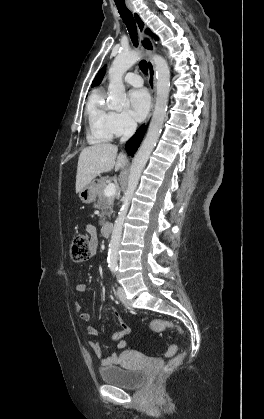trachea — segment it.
Returning a JSON list of instances; mask_svg holds the SVG:
<instances>
[{
  "instance_id": "3493384b",
  "label": "trachea",
  "mask_w": 264,
  "mask_h": 419,
  "mask_svg": "<svg viewBox=\"0 0 264 419\" xmlns=\"http://www.w3.org/2000/svg\"><path fill=\"white\" fill-rule=\"evenodd\" d=\"M116 6H117V9L121 18L123 19V22L125 23L129 31V35H130L131 41L133 42V45L137 47L138 46L137 27H136L135 20L132 16V13L126 7L125 4L116 3ZM140 68L144 73L148 72V64L145 60H142L140 62Z\"/></svg>"
}]
</instances>
